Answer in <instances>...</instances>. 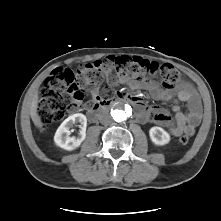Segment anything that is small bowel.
I'll list each match as a JSON object with an SVG mask.
<instances>
[{
	"instance_id": "c3829d8e",
	"label": "small bowel",
	"mask_w": 221,
	"mask_h": 221,
	"mask_svg": "<svg viewBox=\"0 0 221 221\" xmlns=\"http://www.w3.org/2000/svg\"><path fill=\"white\" fill-rule=\"evenodd\" d=\"M107 82L110 86L127 84L131 88L144 87L153 98L172 102L173 120L164 108L149 107L142 104V107L138 108L137 118L139 121L164 125L173 136L193 135L195 133L202 116V104L197 92L188 82H182L176 88L167 89L154 81L144 83L133 81L122 71L108 72ZM92 98L93 102L100 100L97 88L92 90ZM181 103H187V112H182Z\"/></svg>"
}]
</instances>
